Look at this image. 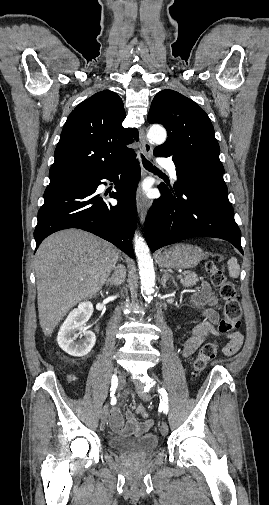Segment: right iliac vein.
<instances>
[{
	"mask_svg": "<svg viewBox=\"0 0 269 505\" xmlns=\"http://www.w3.org/2000/svg\"><path fill=\"white\" fill-rule=\"evenodd\" d=\"M116 382L119 384L117 386V389L118 390H121L122 387H124L126 385V376L123 375L122 373H120L118 376H117V379H116ZM101 424L102 425H105L106 422H107V419H108V405H104L102 411H101Z\"/></svg>",
	"mask_w": 269,
	"mask_h": 505,
	"instance_id": "obj_1",
	"label": "right iliac vein"
}]
</instances>
